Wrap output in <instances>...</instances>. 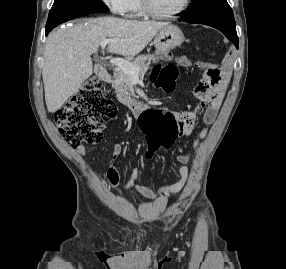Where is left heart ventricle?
Here are the masks:
<instances>
[{
    "label": "left heart ventricle",
    "mask_w": 286,
    "mask_h": 269,
    "mask_svg": "<svg viewBox=\"0 0 286 269\" xmlns=\"http://www.w3.org/2000/svg\"><path fill=\"white\" fill-rule=\"evenodd\" d=\"M184 0H150L153 9L161 14L178 9Z\"/></svg>",
    "instance_id": "obj_1"
}]
</instances>
